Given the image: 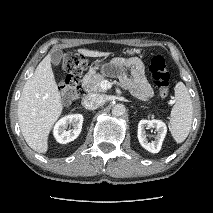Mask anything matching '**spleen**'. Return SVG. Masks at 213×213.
<instances>
[{
	"label": "spleen",
	"instance_id": "3e777b00",
	"mask_svg": "<svg viewBox=\"0 0 213 213\" xmlns=\"http://www.w3.org/2000/svg\"><path fill=\"white\" fill-rule=\"evenodd\" d=\"M193 120V106L190 95L183 82L175 86V104L170 114V132L177 143L188 136Z\"/></svg>",
	"mask_w": 213,
	"mask_h": 213
}]
</instances>
